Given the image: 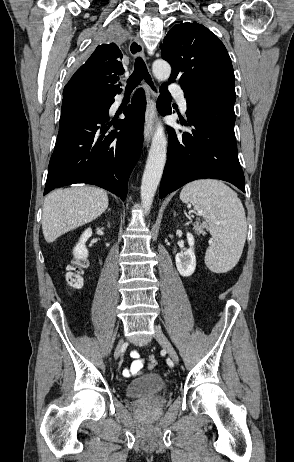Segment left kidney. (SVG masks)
I'll use <instances>...</instances> for the list:
<instances>
[{"label": "left kidney", "mask_w": 294, "mask_h": 462, "mask_svg": "<svg viewBox=\"0 0 294 462\" xmlns=\"http://www.w3.org/2000/svg\"><path fill=\"white\" fill-rule=\"evenodd\" d=\"M187 241L189 244V249L184 252L177 253L175 256L177 270L183 277L191 276L196 268L194 237L191 233H187Z\"/></svg>", "instance_id": "1"}]
</instances>
